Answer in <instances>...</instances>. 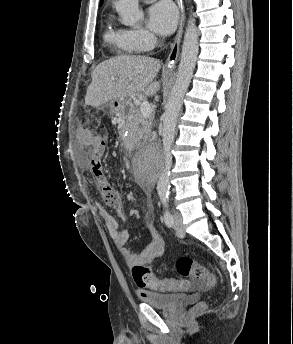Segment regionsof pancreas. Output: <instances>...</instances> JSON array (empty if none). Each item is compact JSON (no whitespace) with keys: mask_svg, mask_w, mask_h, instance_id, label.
Masks as SVG:
<instances>
[{"mask_svg":"<svg viewBox=\"0 0 293 344\" xmlns=\"http://www.w3.org/2000/svg\"><path fill=\"white\" fill-rule=\"evenodd\" d=\"M153 119V114H150L148 117H144L138 108L133 107L128 117L127 127L130 128L131 131L142 130L145 136L147 135L146 131L149 130L152 125Z\"/></svg>","mask_w":293,"mask_h":344,"instance_id":"cf45deb5","label":"pancreas"}]
</instances>
